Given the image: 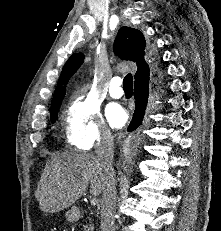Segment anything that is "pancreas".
I'll list each match as a JSON object with an SVG mask.
<instances>
[{
    "label": "pancreas",
    "mask_w": 221,
    "mask_h": 231,
    "mask_svg": "<svg viewBox=\"0 0 221 231\" xmlns=\"http://www.w3.org/2000/svg\"><path fill=\"white\" fill-rule=\"evenodd\" d=\"M85 231H92L91 225L89 227L85 226Z\"/></svg>",
    "instance_id": "pancreas-1"
}]
</instances>
